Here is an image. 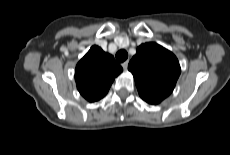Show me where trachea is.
<instances>
[{
    "label": "trachea",
    "mask_w": 230,
    "mask_h": 155,
    "mask_svg": "<svg viewBox=\"0 0 230 155\" xmlns=\"http://www.w3.org/2000/svg\"><path fill=\"white\" fill-rule=\"evenodd\" d=\"M128 58V53L125 50H119L116 53V59L118 62H124Z\"/></svg>",
    "instance_id": "trachea-1"
}]
</instances>
